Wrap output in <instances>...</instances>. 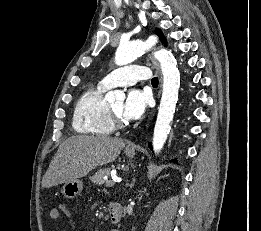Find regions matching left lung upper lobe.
<instances>
[{
  "label": "left lung upper lobe",
  "instance_id": "left-lung-upper-lobe-1",
  "mask_svg": "<svg viewBox=\"0 0 261 231\" xmlns=\"http://www.w3.org/2000/svg\"><path fill=\"white\" fill-rule=\"evenodd\" d=\"M156 34L159 36L160 40L164 41V43L166 44L165 38L159 29L156 30Z\"/></svg>",
  "mask_w": 261,
  "mask_h": 231
}]
</instances>
